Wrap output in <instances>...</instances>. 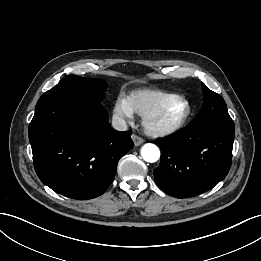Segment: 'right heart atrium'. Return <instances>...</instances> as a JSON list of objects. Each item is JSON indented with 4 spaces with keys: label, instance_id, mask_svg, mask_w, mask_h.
<instances>
[{
    "label": "right heart atrium",
    "instance_id": "d8ad5b80",
    "mask_svg": "<svg viewBox=\"0 0 261 261\" xmlns=\"http://www.w3.org/2000/svg\"><path fill=\"white\" fill-rule=\"evenodd\" d=\"M113 111L115 117L121 122L130 121L133 118L134 111L129 104L128 98L123 95L116 98Z\"/></svg>",
    "mask_w": 261,
    "mask_h": 261
}]
</instances>
